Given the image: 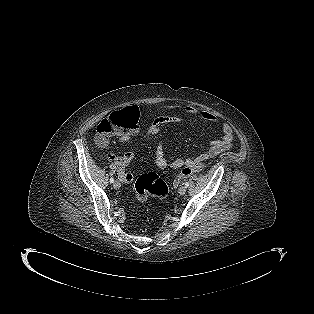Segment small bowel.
I'll list each match as a JSON object with an SVG mask.
<instances>
[{
  "label": "small bowel",
  "instance_id": "small-bowel-1",
  "mask_svg": "<svg viewBox=\"0 0 314 314\" xmlns=\"http://www.w3.org/2000/svg\"><path fill=\"white\" fill-rule=\"evenodd\" d=\"M184 115H188V116L198 115L210 122H213V123L219 122L218 119L212 114H209L206 112H198L196 109L192 107H187L182 112H179V113H173L169 111L163 115L156 117L152 121V123L150 124V126L148 127L146 131L147 136H153L159 133L164 125L180 122ZM220 128L222 132L221 137L217 140L212 141L206 152L201 153L198 156L192 157V158H187V159L177 158L171 163V166L174 168L190 166L197 162L204 161L209 158H213L221 154L222 152L228 150L232 145V139H233L232 128L226 122L220 123ZM138 132L139 130L135 129L134 131L130 133L119 134L118 139L121 142H128L131 140L133 136L138 134ZM96 143L100 147H106L109 144V139H106L105 141H100L96 137ZM107 158L108 160L114 162L119 167L120 177L122 181L130 182L132 180V174L124 172V169L134 159V152L127 151L122 156H117L115 154L110 153L107 155ZM155 163L157 167L160 169H165L169 165L168 160L165 155V141L164 140L159 141L157 145L155 146Z\"/></svg>",
  "mask_w": 314,
  "mask_h": 314
}]
</instances>
